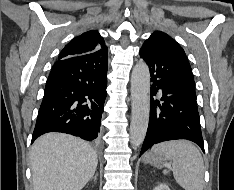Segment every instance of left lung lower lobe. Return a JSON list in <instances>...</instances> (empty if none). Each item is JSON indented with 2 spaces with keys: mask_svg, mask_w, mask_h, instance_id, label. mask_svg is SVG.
I'll return each mask as SVG.
<instances>
[{
  "mask_svg": "<svg viewBox=\"0 0 234 190\" xmlns=\"http://www.w3.org/2000/svg\"><path fill=\"white\" fill-rule=\"evenodd\" d=\"M173 50L161 41L155 48L143 47L140 57L149 66L151 75L150 120L140 155L156 143L187 139L204 152L196 98L183 90L174 79ZM161 90L160 101L155 99Z\"/></svg>",
  "mask_w": 234,
  "mask_h": 190,
  "instance_id": "0a47b994",
  "label": "left lung lower lobe"
}]
</instances>
